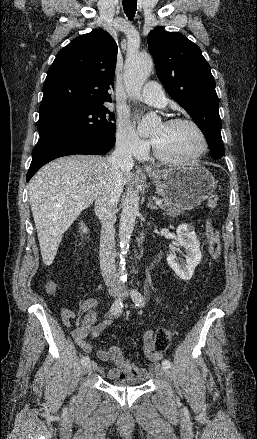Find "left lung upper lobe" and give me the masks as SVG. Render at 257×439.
Instances as JSON below:
<instances>
[{"label": "left lung upper lobe", "instance_id": "obj_1", "mask_svg": "<svg viewBox=\"0 0 257 439\" xmlns=\"http://www.w3.org/2000/svg\"><path fill=\"white\" fill-rule=\"evenodd\" d=\"M160 82L203 132L213 159L225 155L215 81L200 48L178 32L157 27L148 35Z\"/></svg>", "mask_w": 257, "mask_h": 439}]
</instances>
